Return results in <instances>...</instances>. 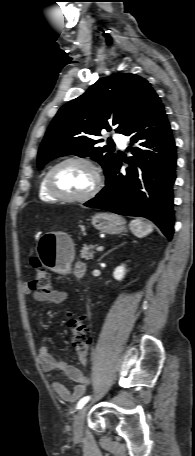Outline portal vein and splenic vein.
<instances>
[{
	"instance_id": "obj_1",
	"label": "portal vein and splenic vein",
	"mask_w": 195,
	"mask_h": 456,
	"mask_svg": "<svg viewBox=\"0 0 195 456\" xmlns=\"http://www.w3.org/2000/svg\"><path fill=\"white\" fill-rule=\"evenodd\" d=\"M103 249H104V247H102V246H99V247L96 248V250L99 251V252L103 251Z\"/></svg>"
}]
</instances>
